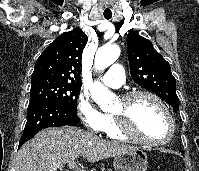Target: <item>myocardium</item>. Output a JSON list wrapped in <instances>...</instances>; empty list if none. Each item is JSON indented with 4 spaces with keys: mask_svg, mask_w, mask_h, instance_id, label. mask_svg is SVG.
Wrapping results in <instances>:
<instances>
[{
    "mask_svg": "<svg viewBox=\"0 0 199 171\" xmlns=\"http://www.w3.org/2000/svg\"><path fill=\"white\" fill-rule=\"evenodd\" d=\"M140 96L151 98L163 109L168 119L169 127H170L169 136L166 140H163V141L151 140L141 135L133 126V123L130 117V104L135 98L140 97ZM120 102H121V109L117 112H113L112 116L115 120L118 130L122 134H124L125 136L135 141H138L147 145H151V146H164V145L169 144L173 140L175 136V132H176V126H175L173 115L169 107L167 106V104L156 93L149 90H145V89L131 90L121 96Z\"/></svg>",
    "mask_w": 199,
    "mask_h": 171,
    "instance_id": "f54148a6",
    "label": "myocardium"
}]
</instances>
